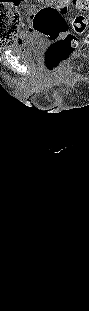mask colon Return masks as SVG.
I'll use <instances>...</instances> for the list:
<instances>
[{
    "label": "colon",
    "mask_w": 89,
    "mask_h": 311,
    "mask_svg": "<svg viewBox=\"0 0 89 311\" xmlns=\"http://www.w3.org/2000/svg\"><path fill=\"white\" fill-rule=\"evenodd\" d=\"M89 0H51L40 8L33 18V29L51 40L45 53L48 70L57 71L79 47L78 36L86 29L84 13L65 17L72 4L80 12L88 10ZM21 24L19 13L9 7L0 10V27L10 26L11 32Z\"/></svg>",
    "instance_id": "colon-1"
}]
</instances>
